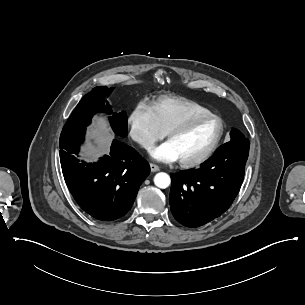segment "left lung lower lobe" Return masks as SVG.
Listing matches in <instances>:
<instances>
[{
  "label": "left lung lower lobe",
  "instance_id": "1",
  "mask_svg": "<svg viewBox=\"0 0 305 305\" xmlns=\"http://www.w3.org/2000/svg\"><path fill=\"white\" fill-rule=\"evenodd\" d=\"M248 154V139L227 142L199 169L171 174L169 202L175 219L195 228L222 215L240 190Z\"/></svg>",
  "mask_w": 305,
  "mask_h": 305
}]
</instances>
